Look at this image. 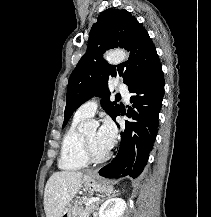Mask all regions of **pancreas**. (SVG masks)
Segmentation results:
<instances>
[{"label":"pancreas","mask_w":211,"mask_h":217,"mask_svg":"<svg viewBox=\"0 0 211 217\" xmlns=\"http://www.w3.org/2000/svg\"><path fill=\"white\" fill-rule=\"evenodd\" d=\"M90 198H83L80 200L74 208V217H89L90 214L95 209L96 203H92L86 207L83 206V204H86L89 201Z\"/></svg>","instance_id":"cf45deb5"}]
</instances>
